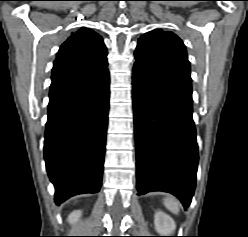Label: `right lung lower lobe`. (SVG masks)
<instances>
[{
    "label": "right lung lower lobe",
    "mask_w": 248,
    "mask_h": 237,
    "mask_svg": "<svg viewBox=\"0 0 248 237\" xmlns=\"http://www.w3.org/2000/svg\"><path fill=\"white\" fill-rule=\"evenodd\" d=\"M49 98L44 158L59 205L74 195L100 190L109 109L108 69L53 81Z\"/></svg>",
    "instance_id": "obj_1"
}]
</instances>
